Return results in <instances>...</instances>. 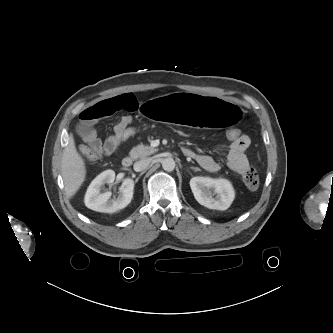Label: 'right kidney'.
<instances>
[{
    "mask_svg": "<svg viewBox=\"0 0 333 333\" xmlns=\"http://www.w3.org/2000/svg\"><path fill=\"white\" fill-rule=\"evenodd\" d=\"M115 172L106 170L99 174L89 185L84 202L85 205L94 211L104 213H114L117 210L125 208L133 198L134 181L127 178L123 181L119 195L111 199L110 191L101 193V186L105 183L111 184L114 182Z\"/></svg>",
    "mask_w": 333,
    "mask_h": 333,
    "instance_id": "obj_1",
    "label": "right kidney"
}]
</instances>
